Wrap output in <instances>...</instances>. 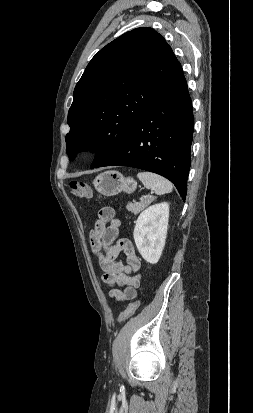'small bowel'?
Listing matches in <instances>:
<instances>
[{
  "label": "small bowel",
  "instance_id": "small-bowel-1",
  "mask_svg": "<svg viewBox=\"0 0 253 413\" xmlns=\"http://www.w3.org/2000/svg\"><path fill=\"white\" fill-rule=\"evenodd\" d=\"M120 227L121 221L115 217L114 209L101 208L90 232V245L98 256L103 271L102 279L110 288L109 296L117 301H130L136 298L140 285L138 271L141 260L131 240L118 239ZM120 253H124L125 262L117 260Z\"/></svg>",
  "mask_w": 253,
  "mask_h": 413
}]
</instances>
